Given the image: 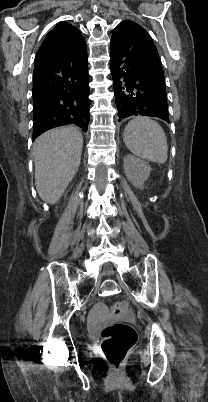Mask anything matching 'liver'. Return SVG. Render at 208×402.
<instances>
[{
	"label": "liver",
	"mask_w": 208,
	"mask_h": 402,
	"mask_svg": "<svg viewBox=\"0 0 208 402\" xmlns=\"http://www.w3.org/2000/svg\"><path fill=\"white\" fill-rule=\"evenodd\" d=\"M83 136L77 128H54L34 142L36 190L44 202L56 204L81 162Z\"/></svg>",
	"instance_id": "obj_1"
}]
</instances>
